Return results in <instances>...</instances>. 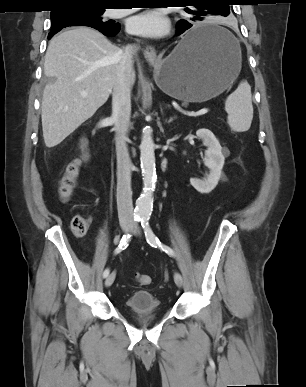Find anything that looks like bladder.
Listing matches in <instances>:
<instances>
[{
    "mask_svg": "<svg viewBox=\"0 0 306 387\" xmlns=\"http://www.w3.org/2000/svg\"><path fill=\"white\" fill-rule=\"evenodd\" d=\"M127 311L133 315L163 313L161 301L148 291H137L131 294L124 303Z\"/></svg>",
    "mask_w": 306,
    "mask_h": 387,
    "instance_id": "bladder-1",
    "label": "bladder"
}]
</instances>
